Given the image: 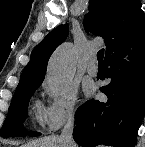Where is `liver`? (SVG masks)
<instances>
[{
  "mask_svg": "<svg viewBox=\"0 0 145 147\" xmlns=\"http://www.w3.org/2000/svg\"><path fill=\"white\" fill-rule=\"evenodd\" d=\"M21 147H63L59 136H48L33 140Z\"/></svg>",
  "mask_w": 145,
  "mask_h": 147,
  "instance_id": "6515ba94",
  "label": "liver"
}]
</instances>
